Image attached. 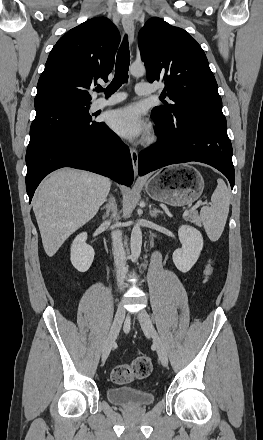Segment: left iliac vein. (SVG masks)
<instances>
[{
    "instance_id": "obj_1",
    "label": "left iliac vein",
    "mask_w": 263,
    "mask_h": 440,
    "mask_svg": "<svg viewBox=\"0 0 263 440\" xmlns=\"http://www.w3.org/2000/svg\"><path fill=\"white\" fill-rule=\"evenodd\" d=\"M137 317H138V320L140 322L141 328L144 331V333L153 339V343L156 347V351H157L158 357H159L162 365L165 367L168 366L167 351H166L159 335L157 334L148 313L145 310H141L138 313Z\"/></svg>"
}]
</instances>
